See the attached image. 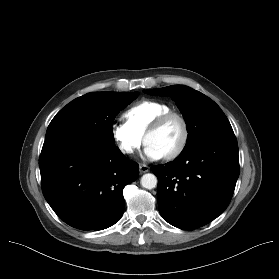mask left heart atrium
I'll list each match as a JSON object with an SVG mask.
<instances>
[{
  "mask_svg": "<svg viewBox=\"0 0 279 279\" xmlns=\"http://www.w3.org/2000/svg\"><path fill=\"white\" fill-rule=\"evenodd\" d=\"M144 153L145 156L150 160H159L164 157L158 149H156L153 145L150 144H146Z\"/></svg>",
  "mask_w": 279,
  "mask_h": 279,
  "instance_id": "obj_1",
  "label": "left heart atrium"
}]
</instances>
